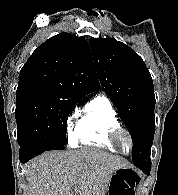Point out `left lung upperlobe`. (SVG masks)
I'll return each mask as SVG.
<instances>
[{
	"instance_id": "1",
	"label": "left lung upper lobe",
	"mask_w": 178,
	"mask_h": 195,
	"mask_svg": "<svg viewBox=\"0 0 178 195\" xmlns=\"http://www.w3.org/2000/svg\"><path fill=\"white\" fill-rule=\"evenodd\" d=\"M89 43L102 87L132 137V161L146 163L155 132L151 75L142 58L124 43L114 38H91Z\"/></svg>"
}]
</instances>
